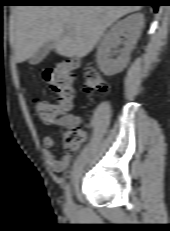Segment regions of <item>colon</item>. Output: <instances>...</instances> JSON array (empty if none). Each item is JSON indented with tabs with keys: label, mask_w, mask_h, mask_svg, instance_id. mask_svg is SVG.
I'll return each instance as SVG.
<instances>
[{
	"label": "colon",
	"mask_w": 170,
	"mask_h": 231,
	"mask_svg": "<svg viewBox=\"0 0 170 231\" xmlns=\"http://www.w3.org/2000/svg\"><path fill=\"white\" fill-rule=\"evenodd\" d=\"M82 68L84 82L83 89L86 92L104 93L108 89L107 82L102 74L91 63L81 64L76 60H66L48 67L44 72V77L49 83L57 102L37 99L35 109L41 120L49 124L61 114L70 109L74 97V76L75 70ZM85 132L79 126L66 128L64 140L68 149L76 146L85 139Z\"/></svg>",
	"instance_id": "5ec220e1"
}]
</instances>
